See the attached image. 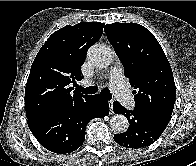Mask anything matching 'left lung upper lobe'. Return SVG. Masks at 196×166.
I'll use <instances>...</instances> for the list:
<instances>
[{
	"mask_svg": "<svg viewBox=\"0 0 196 166\" xmlns=\"http://www.w3.org/2000/svg\"><path fill=\"white\" fill-rule=\"evenodd\" d=\"M105 32L130 79L135 110L169 122L176 87L169 61L159 42L136 23L106 24Z\"/></svg>",
	"mask_w": 196,
	"mask_h": 166,
	"instance_id": "obj_1",
	"label": "left lung upper lobe"
}]
</instances>
